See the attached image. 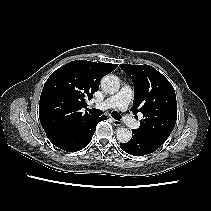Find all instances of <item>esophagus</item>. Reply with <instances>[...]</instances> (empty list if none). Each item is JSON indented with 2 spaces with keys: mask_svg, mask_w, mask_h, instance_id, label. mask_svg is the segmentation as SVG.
Masks as SVG:
<instances>
[{
  "mask_svg": "<svg viewBox=\"0 0 211 211\" xmlns=\"http://www.w3.org/2000/svg\"><path fill=\"white\" fill-rule=\"evenodd\" d=\"M112 123L114 126H120L121 125V122L119 120H116V119H112Z\"/></svg>",
  "mask_w": 211,
  "mask_h": 211,
  "instance_id": "1",
  "label": "esophagus"
}]
</instances>
